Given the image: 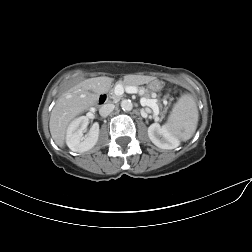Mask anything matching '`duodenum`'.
<instances>
[{
    "instance_id": "1",
    "label": "duodenum",
    "mask_w": 252,
    "mask_h": 252,
    "mask_svg": "<svg viewBox=\"0 0 252 252\" xmlns=\"http://www.w3.org/2000/svg\"><path fill=\"white\" fill-rule=\"evenodd\" d=\"M107 101H108V96H107V94H101V95L99 96V98H98L97 104H98L99 106H102V105L106 104Z\"/></svg>"
}]
</instances>
